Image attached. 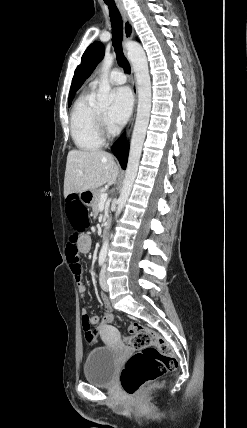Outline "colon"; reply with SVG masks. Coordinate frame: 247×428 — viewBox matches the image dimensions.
I'll return each instance as SVG.
<instances>
[{"instance_id": "obj_1", "label": "colon", "mask_w": 247, "mask_h": 428, "mask_svg": "<svg viewBox=\"0 0 247 428\" xmlns=\"http://www.w3.org/2000/svg\"><path fill=\"white\" fill-rule=\"evenodd\" d=\"M63 205L66 208L65 228L75 232L69 239L67 250L70 254L77 255L78 232L90 231L91 217H86L87 206L79 194H70L69 199H64ZM101 315L105 317L101 319L98 330L103 332L116 316L111 309H102ZM82 325L87 344L96 345L97 332L92 330L87 318L82 319ZM126 344L138 350L126 361L120 376L121 386L128 395H136L145 384L158 379L178 365L170 344L144 325H130Z\"/></svg>"}]
</instances>
